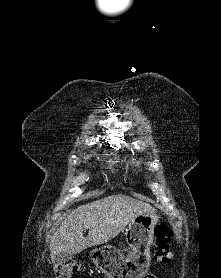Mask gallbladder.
I'll list each match as a JSON object with an SVG mask.
<instances>
[{
  "label": "gallbladder",
  "instance_id": "obj_1",
  "mask_svg": "<svg viewBox=\"0 0 221 278\" xmlns=\"http://www.w3.org/2000/svg\"><path fill=\"white\" fill-rule=\"evenodd\" d=\"M73 254L70 253H59L54 258L53 263L55 265H63L64 263L68 262L69 260H72Z\"/></svg>",
  "mask_w": 221,
  "mask_h": 278
}]
</instances>
